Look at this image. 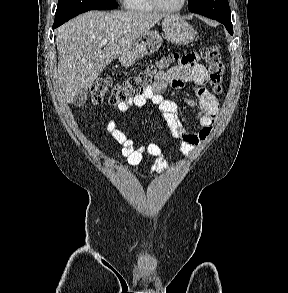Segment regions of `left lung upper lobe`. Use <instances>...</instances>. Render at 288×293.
Returning a JSON list of instances; mask_svg holds the SVG:
<instances>
[{
    "mask_svg": "<svg viewBox=\"0 0 288 293\" xmlns=\"http://www.w3.org/2000/svg\"><path fill=\"white\" fill-rule=\"evenodd\" d=\"M188 8L191 12L219 22L231 23L228 0H188Z\"/></svg>",
    "mask_w": 288,
    "mask_h": 293,
    "instance_id": "left-lung-upper-lobe-1",
    "label": "left lung upper lobe"
}]
</instances>
